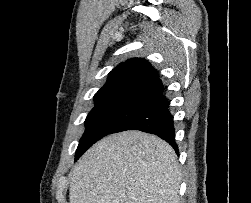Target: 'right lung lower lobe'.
Wrapping results in <instances>:
<instances>
[{
    "mask_svg": "<svg viewBox=\"0 0 251 203\" xmlns=\"http://www.w3.org/2000/svg\"><path fill=\"white\" fill-rule=\"evenodd\" d=\"M172 115L169 111L168 100L144 111L137 113L122 124L112 133L126 130H140L154 134L169 143L178 154V146L175 142V130ZM111 133V134H112Z\"/></svg>",
    "mask_w": 251,
    "mask_h": 203,
    "instance_id": "1",
    "label": "right lung lower lobe"
}]
</instances>
